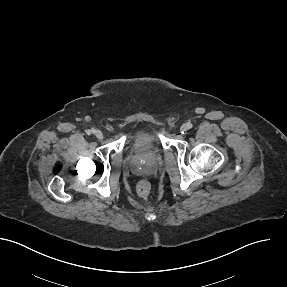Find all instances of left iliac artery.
I'll return each instance as SVG.
<instances>
[{
	"label": "left iliac artery",
	"instance_id": "1",
	"mask_svg": "<svg viewBox=\"0 0 287 287\" xmlns=\"http://www.w3.org/2000/svg\"><path fill=\"white\" fill-rule=\"evenodd\" d=\"M192 126H193V125H192L190 122H188V123H187V127H188V129H191V128H192Z\"/></svg>",
	"mask_w": 287,
	"mask_h": 287
}]
</instances>
